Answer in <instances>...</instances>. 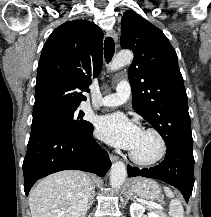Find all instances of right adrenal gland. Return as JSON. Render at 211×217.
Returning <instances> with one entry per match:
<instances>
[{
    "label": "right adrenal gland",
    "mask_w": 211,
    "mask_h": 217,
    "mask_svg": "<svg viewBox=\"0 0 211 217\" xmlns=\"http://www.w3.org/2000/svg\"><path fill=\"white\" fill-rule=\"evenodd\" d=\"M94 196H95V191L93 189L92 194L90 195L88 200V208H90V206L92 205Z\"/></svg>",
    "instance_id": "obj_1"
}]
</instances>
